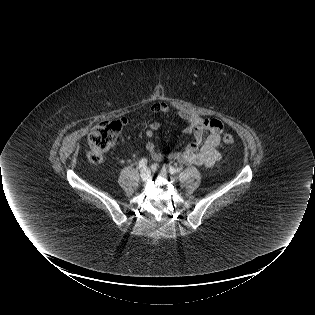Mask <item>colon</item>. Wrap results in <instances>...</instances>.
Masks as SVG:
<instances>
[{"label": "colon", "mask_w": 315, "mask_h": 315, "mask_svg": "<svg viewBox=\"0 0 315 315\" xmlns=\"http://www.w3.org/2000/svg\"><path fill=\"white\" fill-rule=\"evenodd\" d=\"M119 121H106L98 124L88 136V158L92 163L102 161L105 153L114 145L121 130ZM226 146H233L234 137L230 134L222 136Z\"/></svg>", "instance_id": "1"}]
</instances>
